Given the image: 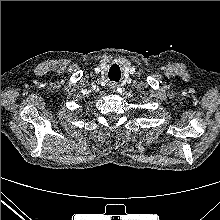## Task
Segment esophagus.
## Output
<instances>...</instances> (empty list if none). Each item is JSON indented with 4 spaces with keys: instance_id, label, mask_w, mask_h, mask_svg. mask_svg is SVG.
Wrapping results in <instances>:
<instances>
[{
    "instance_id": "esophagus-1",
    "label": "esophagus",
    "mask_w": 220,
    "mask_h": 220,
    "mask_svg": "<svg viewBox=\"0 0 220 220\" xmlns=\"http://www.w3.org/2000/svg\"><path fill=\"white\" fill-rule=\"evenodd\" d=\"M117 88H118V85L116 83H112L110 85V89L113 90V91H115Z\"/></svg>"
}]
</instances>
